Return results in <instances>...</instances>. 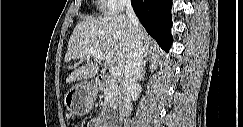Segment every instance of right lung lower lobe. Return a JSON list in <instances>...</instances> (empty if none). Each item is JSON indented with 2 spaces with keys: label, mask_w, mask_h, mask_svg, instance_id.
I'll return each instance as SVG.
<instances>
[{
  "label": "right lung lower lobe",
  "mask_w": 243,
  "mask_h": 127,
  "mask_svg": "<svg viewBox=\"0 0 243 127\" xmlns=\"http://www.w3.org/2000/svg\"><path fill=\"white\" fill-rule=\"evenodd\" d=\"M140 22L159 46L169 51L172 44V0H132Z\"/></svg>",
  "instance_id": "98d812e1"
}]
</instances>
